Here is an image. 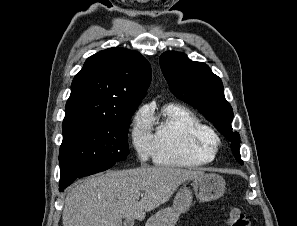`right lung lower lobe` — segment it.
I'll return each instance as SVG.
<instances>
[{"mask_svg":"<svg viewBox=\"0 0 297 226\" xmlns=\"http://www.w3.org/2000/svg\"><path fill=\"white\" fill-rule=\"evenodd\" d=\"M112 166H91V167H86V168H82L80 170H74V171H70L67 174L61 176L60 178V183H59V191H64V189L69 186L71 183L74 182V180L76 178H80V177H85L88 175H92L104 170L109 169Z\"/></svg>","mask_w":297,"mask_h":226,"instance_id":"98d812e1","label":"right lung lower lobe"}]
</instances>
